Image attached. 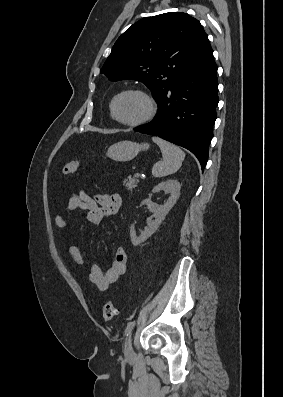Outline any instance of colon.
<instances>
[{
	"mask_svg": "<svg viewBox=\"0 0 283 397\" xmlns=\"http://www.w3.org/2000/svg\"><path fill=\"white\" fill-rule=\"evenodd\" d=\"M81 169V164L78 161H71L66 163L62 168L64 175H72ZM116 315V308L112 301H108L103 306L102 316L105 321H111Z\"/></svg>",
	"mask_w": 283,
	"mask_h": 397,
	"instance_id": "obj_1",
	"label": "colon"
}]
</instances>
